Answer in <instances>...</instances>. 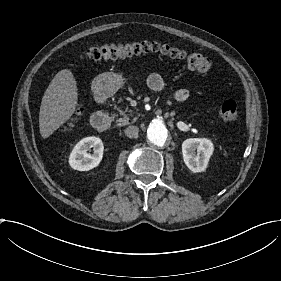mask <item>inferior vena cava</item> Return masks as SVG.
Here are the masks:
<instances>
[{
    "label": "inferior vena cava",
    "mask_w": 281,
    "mask_h": 281,
    "mask_svg": "<svg viewBox=\"0 0 281 281\" xmlns=\"http://www.w3.org/2000/svg\"><path fill=\"white\" fill-rule=\"evenodd\" d=\"M138 127L135 126V125H131V126H128L127 128H125L124 132H125V135L129 138H134L138 135Z\"/></svg>",
    "instance_id": "obj_1"
}]
</instances>
